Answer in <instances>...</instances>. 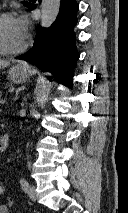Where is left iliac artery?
<instances>
[{"instance_id": "1", "label": "left iliac artery", "mask_w": 128, "mask_h": 213, "mask_svg": "<svg viewBox=\"0 0 128 213\" xmlns=\"http://www.w3.org/2000/svg\"><path fill=\"white\" fill-rule=\"evenodd\" d=\"M20 184H21V187L22 189L27 192L28 189H29V183L27 182V180H25L24 178H21L20 179Z\"/></svg>"}]
</instances>
